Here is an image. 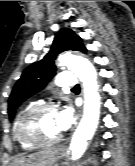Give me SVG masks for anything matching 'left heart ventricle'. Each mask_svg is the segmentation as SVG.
Returning a JSON list of instances; mask_svg holds the SVG:
<instances>
[{"instance_id": "left-heart-ventricle-1", "label": "left heart ventricle", "mask_w": 135, "mask_h": 166, "mask_svg": "<svg viewBox=\"0 0 135 166\" xmlns=\"http://www.w3.org/2000/svg\"><path fill=\"white\" fill-rule=\"evenodd\" d=\"M26 130L30 135L40 139L56 138L62 133L58 126V111L48 110L36 114L28 121Z\"/></svg>"}]
</instances>
